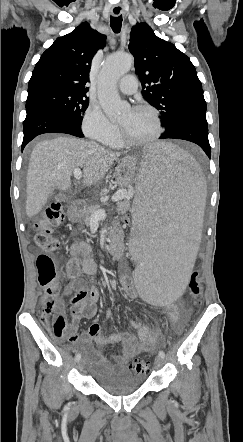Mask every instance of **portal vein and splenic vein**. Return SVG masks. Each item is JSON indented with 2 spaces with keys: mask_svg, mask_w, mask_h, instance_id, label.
<instances>
[{
  "mask_svg": "<svg viewBox=\"0 0 243 442\" xmlns=\"http://www.w3.org/2000/svg\"><path fill=\"white\" fill-rule=\"evenodd\" d=\"M73 174H74V177L77 180L81 179V177H82V172H81L80 168H75L74 171H73ZM131 196H132V192L127 191V190H121V191H118L117 193H115L112 196V200L114 202H117V201H120V200H123V199L129 200ZM104 218H105V211L100 209V210L95 211L92 214L91 221L92 222H98V221H100V220H102Z\"/></svg>",
  "mask_w": 243,
  "mask_h": 442,
  "instance_id": "obj_1",
  "label": "portal vein and splenic vein"
}]
</instances>
